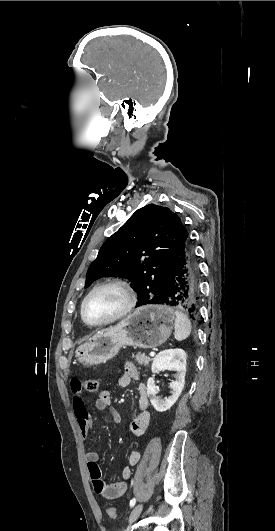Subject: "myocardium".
I'll return each mask as SVG.
<instances>
[{"instance_id":"obj_1","label":"myocardium","mask_w":275,"mask_h":531,"mask_svg":"<svg viewBox=\"0 0 275 531\" xmlns=\"http://www.w3.org/2000/svg\"><path fill=\"white\" fill-rule=\"evenodd\" d=\"M109 287L117 288L123 293L124 298H125V305H124L123 309L121 311H119L118 313H116L115 315H113V316H111V317H109V318H107V319H105L103 321L89 322L88 320H86V318L84 316V305H85V302L94 293L98 292L99 290H102V289H105V288H109ZM134 304H135V293H134L132 287L130 286V284L127 283L126 281H124L122 279H118V278L109 279V280L101 282L98 285H96L95 287H93L84 296V298L82 299L81 304H80V316H81L82 321L85 324L89 325V326H93V327L105 326V325L114 323V322L124 318L126 315H128L131 312V310L133 309Z\"/></svg>"}]
</instances>
